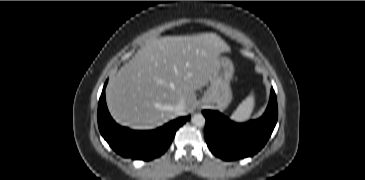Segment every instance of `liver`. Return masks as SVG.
<instances>
[{"mask_svg":"<svg viewBox=\"0 0 365 180\" xmlns=\"http://www.w3.org/2000/svg\"><path fill=\"white\" fill-rule=\"evenodd\" d=\"M229 46L215 33L150 40L114 75L106 89L112 117L134 129H152L196 106V90L205 86L221 53Z\"/></svg>","mask_w":365,"mask_h":180,"instance_id":"liver-1","label":"liver"}]
</instances>
